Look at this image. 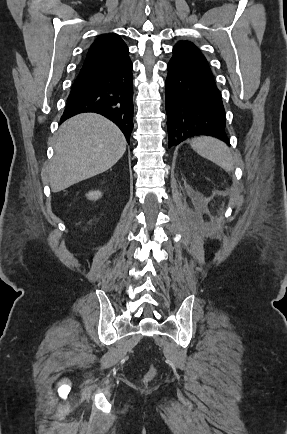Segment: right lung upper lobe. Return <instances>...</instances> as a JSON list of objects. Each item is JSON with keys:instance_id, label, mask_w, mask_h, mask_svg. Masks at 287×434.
<instances>
[{"instance_id": "1", "label": "right lung upper lobe", "mask_w": 287, "mask_h": 434, "mask_svg": "<svg viewBox=\"0 0 287 434\" xmlns=\"http://www.w3.org/2000/svg\"><path fill=\"white\" fill-rule=\"evenodd\" d=\"M127 52L128 47L117 34H103L90 46L83 65L103 62Z\"/></svg>"}]
</instances>
